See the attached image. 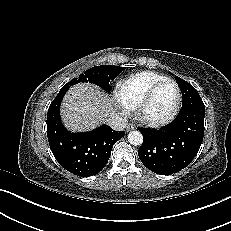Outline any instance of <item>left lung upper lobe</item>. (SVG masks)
Returning a JSON list of instances; mask_svg holds the SVG:
<instances>
[{
	"instance_id": "5c2ea615",
	"label": "left lung upper lobe",
	"mask_w": 231,
	"mask_h": 231,
	"mask_svg": "<svg viewBox=\"0 0 231 231\" xmlns=\"http://www.w3.org/2000/svg\"><path fill=\"white\" fill-rule=\"evenodd\" d=\"M182 92V109H187L194 104H204L197 90L188 82L175 76Z\"/></svg>"
}]
</instances>
